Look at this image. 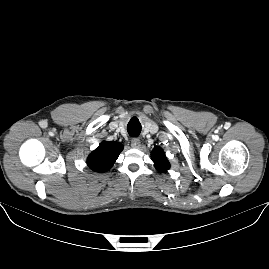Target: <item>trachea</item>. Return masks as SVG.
Instances as JSON below:
<instances>
[{
  "mask_svg": "<svg viewBox=\"0 0 269 269\" xmlns=\"http://www.w3.org/2000/svg\"><path fill=\"white\" fill-rule=\"evenodd\" d=\"M139 135V133H136V132H132L131 134H130V136H132V137H137Z\"/></svg>",
  "mask_w": 269,
  "mask_h": 269,
  "instance_id": "3493384b",
  "label": "trachea"
}]
</instances>
